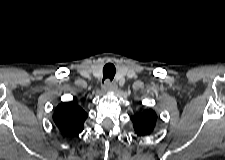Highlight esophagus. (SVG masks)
Wrapping results in <instances>:
<instances>
[{
	"label": "esophagus",
	"mask_w": 225,
	"mask_h": 160,
	"mask_svg": "<svg viewBox=\"0 0 225 160\" xmlns=\"http://www.w3.org/2000/svg\"><path fill=\"white\" fill-rule=\"evenodd\" d=\"M103 90L106 91H116L117 90V84L116 82H111L110 80H106L103 86Z\"/></svg>",
	"instance_id": "obj_1"
}]
</instances>
